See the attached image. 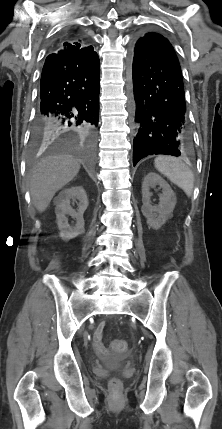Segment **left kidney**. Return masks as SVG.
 I'll return each instance as SVG.
<instances>
[{
	"label": "left kidney",
	"instance_id": "left-kidney-1",
	"mask_svg": "<svg viewBox=\"0 0 222 429\" xmlns=\"http://www.w3.org/2000/svg\"><path fill=\"white\" fill-rule=\"evenodd\" d=\"M159 185L162 188V194H160V204L158 206H152L150 204V187ZM142 213L147 218L148 225L157 230L166 220L171 216L173 209L176 204V196L169 186V184L158 174L150 172L144 178L142 184Z\"/></svg>",
	"mask_w": 222,
	"mask_h": 429
}]
</instances>
